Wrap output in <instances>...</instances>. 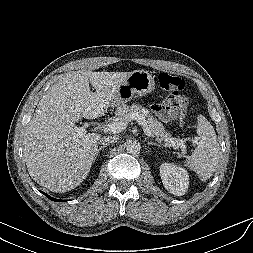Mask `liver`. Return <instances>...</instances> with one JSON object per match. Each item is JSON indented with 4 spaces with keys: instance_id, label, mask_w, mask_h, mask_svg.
Returning <instances> with one entry per match:
<instances>
[{
    "instance_id": "1",
    "label": "liver",
    "mask_w": 253,
    "mask_h": 253,
    "mask_svg": "<svg viewBox=\"0 0 253 253\" xmlns=\"http://www.w3.org/2000/svg\"><path fill=\"white\" fill-rule=\"evenodd\" d=\"M130 74L71 72L43 95L24 133L25 162L38 184L62 193L74 189L88 176L101 135H79L75 123L82 117L103 116Z\"/></svg>"
}]
</instances>
